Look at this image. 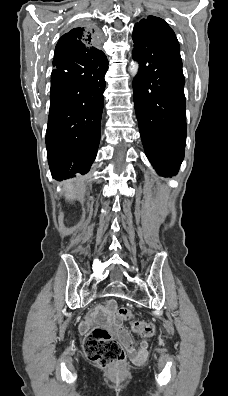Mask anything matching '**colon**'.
I'll list each match as a JSON object with an SVG mask.
<instances>
[{
  "mask_svg": "<svg viewBox=\"0 0 228 396\" xmlns=\"http://www.w3.org/2000/svg\"><path fill=\"white\" fill-rule=\"evenodd\" d=\"M118 315L130 322L133 331L140 335L152 336L155 332L152 323L133 320L131 310L126 307L120 308ZM83 348L87 358L102 367H117L125 360L123 347L105 327L93 329L85 339Z\"/></svg>",
  "mask_w": 228,
  "mask_h": 396,
  "instance_id": "obj_1",
  "label": "colon"
}]
</instances>
